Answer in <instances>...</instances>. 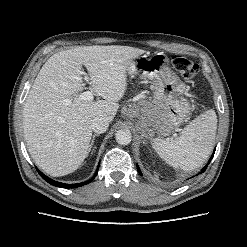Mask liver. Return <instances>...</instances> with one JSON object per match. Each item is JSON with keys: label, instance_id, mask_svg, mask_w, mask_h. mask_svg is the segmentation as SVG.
Masks as SVG:
<instances>
[{"label": "liver", "instance_id": "6515ba94", "mask_svg": "<svg viewBox=\"0 0 247 247\" xmlns=\"http://www.w3.org/2000/svg\"><path fill=\"white\" fill-rule=\"evenodd\" d=\"M143 53L129 46H79L55 53L45 62L23 111L27 148L43 171L59 177L79 168L90 152L92 120L114 119L127 89V68ZM83 65L92 90L104 100L80 98L86 89Z\"/></svg>", "mask_w": 247, "mask_h": 247}]
</instances>
